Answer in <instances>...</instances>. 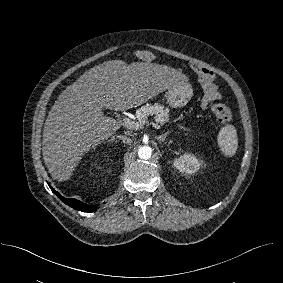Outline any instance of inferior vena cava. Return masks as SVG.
<instances>
[{"label": "inferior vena cava", "mask_w": 283, "mask_h": 283, "mask_svg": "<svg viewBox=\"0 0 283 283\" xmlns=\"http://www.w3.org/2000/svg\"><path fill=\"white\" fill-rule=\"evenodd\" d=\"M119 139H121L123 141V143H126V144H130L131 143V139L127 136H122V135H119L117 136Z\"/></svg>", "instance_id": "inferior-vena-cava-1"}]
</instances>
